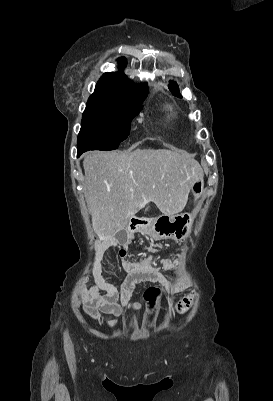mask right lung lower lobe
I'll list each match as a JSON object with an SVG mask.
<instances>
[{
  "label": "right lung lower lobe",
  "instance_id": "obj_1",
  "mask_svg": "<svg viewBox=\"0 0 273 401\" xmlns=\"http://www.w3.org/2000/svg\"><path fill=\"white\" fill-rule=\"evenodd\" d=\"M83 152H81V151H78V154H77V157H79L80 156V154H82Z\"/></svg>",
  "mask_w": 273,
  "mask_h": 401
}]
</instances>
